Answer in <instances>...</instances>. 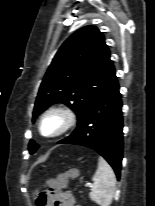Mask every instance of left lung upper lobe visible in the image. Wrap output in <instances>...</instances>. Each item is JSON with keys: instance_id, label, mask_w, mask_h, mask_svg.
Wrapping results in <instances>:
<instances>
[{"instance_id": "left-lung-upper-lobe-1", "label": "left lung upper lobe", "mask_w": 155, "mask_h": 206, "mask_svg": "<svg viewBox=\"0 0 155 206\" xmlns=\"http://www.w3.org/2000/svg\"><path fill=\"white\" fill-rule=\"evenodd\" d=\"M115 76L110 51L102 33L85 26L73 33L60 47L40 85L33 117L54 103H64L78 120L94 98ZM38 145L31 141L33 154Z\"/></svg>"}]
</instances>
